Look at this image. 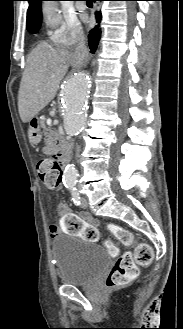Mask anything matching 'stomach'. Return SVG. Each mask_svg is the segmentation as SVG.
I'll list each match as a JSON object with an SVG mask.
<instances>
[{
  "label": "stomach",
  "mask_w": 183,
  "mask_h": 329,
  "mask_svg": "<svg viewBox=\"0 0 183 329\" xmlns=\"http://www.w3.org/2000/svg\"><path fill=\"white\" fill-rule=\"evenodd\" d=\"M28 136H29V140L32 144H37L41 140V132L35 125H32V124H30V126H29Z\"/></svg>",
  "instance_id": "stomach-1"
}]
</instances>
